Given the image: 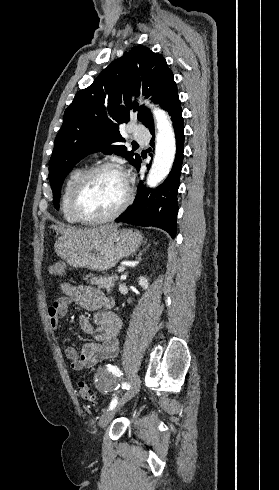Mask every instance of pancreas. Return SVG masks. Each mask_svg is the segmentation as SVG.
Here are the masks:
<instances>
[{
	"label": "pancreas",
	"instance_id": "obj_1",
	"mask_svg": "<svg viewBox=\"0 0 279 490\" xmlns=\"http://www.w3.org/2000/svg\"><path fill=\"white\" fill-rule=\"evenodd\" d=\"M88 278H91L90 284H93V286H98V288H105L107 292H111L112 288H114V282L116 280H119L118 274H113V276H100V278H97L95 274H90V276H86L84 280H88Z\"/></svg>",
	"mask_w": 279,
	"mask_h": 490
}]
</instances>
